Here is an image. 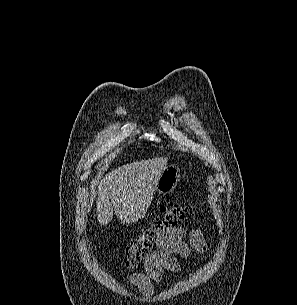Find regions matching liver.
Returning a JSON list of instances; mask_svg holds the SVG:
<instances>
[{
	"label": "liver",
	"mask_w": 297,
	"mask_h": 305,
	"mask_svg": "<svg viewBox=\"0 0 297 305\" xmlns=\"http://www.w3.org/2000/svg\"><path fill=\"white\" fill-rule=\"evenodd\" d=\"M167 157L132 162L118 167L98 182L97 218L107 225L115 211L124 223L142 219L153 199L159 176L166 168Z\"/></svg>",
	"instance_id": "liver-1"
}]
</instances>
